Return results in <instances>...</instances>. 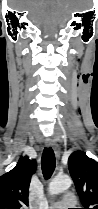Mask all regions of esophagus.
I'll list each match as a JSON object with an SVG mask.
<instances>
[{"label":"esophagus","instance_id":"esophagus-1","mask_svg":"<svg viewBox=\"0 0 98 209\" xmlns=\"http://www.w3.org/2000/svg\"><path fill=\"white\" fill-rule=\"evenodd\" d=\"M46 146L47 147H52L54 152H55V155L59 158L60 156V148L59 146L55 143V141L51 138H48L46 140Z\"/></svg>","mask_w":98,"mask_h":209}]
</instances>
